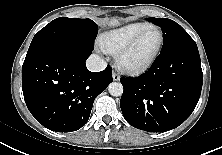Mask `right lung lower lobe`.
Listing matches in <instances>:
<instances>
[{"instance_id": "right-lung-lower-lobe-1", "label": "right lung lower lobe", "mask_w": 222, "mask_h": 155, "mask_svg": "<svg viewBox=\"0 0 222 155\" xmlns=\"http://www.w3.org/2000/svg\"><path fill=\"white\" fill-rule=\"evenodd\" d=\"M93 49L82 44L56 45L25 58L24 99L44 127L71 132L88 121L95 98L113 81L109 66L95 73L86 68Z\"/></svg>"}]
</instances>
